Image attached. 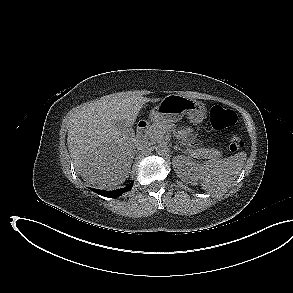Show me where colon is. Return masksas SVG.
<instances>
[{
    "label": "colon",
    "mask_w": 293,
    "mask_h": 293,
    "mask_svg": "<svg viewBox=\"0 0 293 293\" xmlns=\"http://www.w3.org/2000/svg\"><path fill=\"white\" fill-rule=\"evenodd\" d=\"M210 121L216 130H225L233 126L237 121L234 111L225 109L220 105H213L210 109ZM244 146L243 140L237 135H231L228 140V148L231 152H237Z\"/></svg>",
    "instance_id": "5ec220e1"
}]
</instances>
